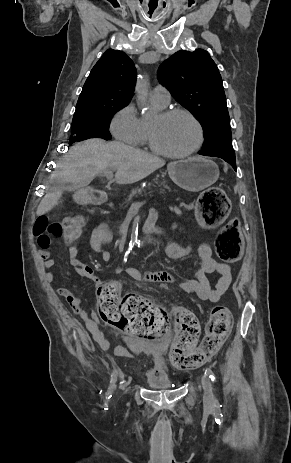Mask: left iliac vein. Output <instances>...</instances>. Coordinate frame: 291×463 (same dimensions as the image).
<instances>
[{
  "mask_svg": "<svg viewBox=\"0 0 291 463\" xmlns=\"http://www.w3.org/2000/svg\"><path fill=\"white\" fill-rule=\"evenodd\" d=\"M202 387L204 390L203 400L207 406H211L213 403V392L211 381L207 374H203L201 378Z\"/></svg>",
  "mask_w": 291,
  "mask_h": 463,
  "instance_id": "obj_1",
  "label": "left iliac vein"
}]
</instances>
